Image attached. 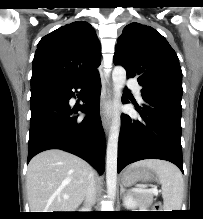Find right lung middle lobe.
I'll use <instances>...</instances> for the list:
<instances>
[{"label":"right lung middle lobe","mask_w":203,"mask_h":219,"mask_svg":"<svg viewBox=\"0 0 203 219\" xmlns=\"http://www.w3.org/2000/svg\"><path fill=\"white\" fill-rule=\"evenodd\" d=\"M43 82H45V81L31 82V86L36 85V84H40V83H43Z\"/></svg>","instance_id":"right-lung-middle-lobe-1"}]
</instances>
